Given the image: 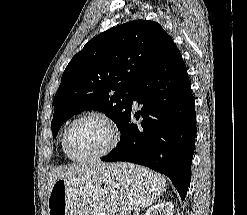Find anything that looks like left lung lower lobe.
Returning <instances> with one entry per match:
<instances>
[{
  "instance_id": "1",
  "label": "left lung lower lobe",
  "mask_w": 247,
  "mask_h": 215,
  "mask_svg": "<svg viewBox=\"0 0 247 215\" xmlns=\"http://www.w3.org/2000/svg\"><path fill=\"white\" fill-rule=\"evenodd\" d=\"M143 105L134 117L131 109L119 128L118 146L102 160L127 161L167 175L182 200L191 179L196 137L194 97L185 63L173 40L161 60L137 86L134 99Z\"/></svg>"
}]
</instances>
